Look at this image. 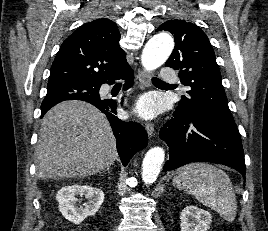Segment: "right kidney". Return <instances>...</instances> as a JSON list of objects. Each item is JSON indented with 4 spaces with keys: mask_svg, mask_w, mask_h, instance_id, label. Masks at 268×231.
<instances>
[{
    "mask_svg": "<svg viewBox=\"0 0 268 231\" xmlns=\"http://www.w3.org/2000/svg\"><path fill=\"white\" fill-rule=\"evenodd\" d=\"M84 195L87 202L78 206L76 196ZM56 199L59 202V211L70 222L80 224L86 217L93 216L104 201L102 190L92 186L73 184L61 188Z\"/></svg>",
    "mask_w": 268,
    "mask_h": 231,
    "instance_id": "ca27d5eb",
    "label": "right kidney"
}]
</instances>
